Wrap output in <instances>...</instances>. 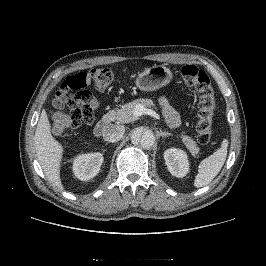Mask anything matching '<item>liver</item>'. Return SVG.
Segmentation results:
<instances>
[{"label":"liver","instance_id":"1","mask_svg":"<svg viewBox=\"0 0 266 266\" xmlns=\"http://www.w3.org/2000/svg\"><path fill=\"white\" fill-rule=\"evenodd\" d=\"M37 159L48 181L63 190L60 165L64 148L51 134V125L45 109L42 110L34 136Z\"/></svg>","mask_w":266,"mask_h":266}]
</instances>
